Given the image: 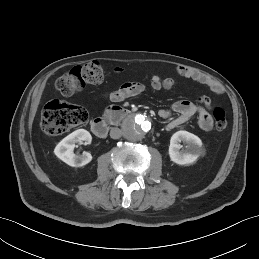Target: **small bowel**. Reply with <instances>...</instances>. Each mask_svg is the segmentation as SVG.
Segmentation results:
<instances>
[{"label":"small bowel","instance_id":"c3829d8e","mask_svg":"<svg viewBox=\"0 0 259 259\" xmlns=\"http://www.w3.org/2000/svg\"><path fill=\"white\" fill-rule=\"evenodd\" d=\"M116 72H121V68H116ZM178 76L186 79H191L200 84L206 85L211 91L221 94L223 93V86L216 79L186 66H179L176 69ZM176 85V80L173 77L162 78L159 75L151 77L150 86L154 92L161 90H170ZM145 87L142 83L136 81L124 82L119 88L111 91L105 97L112 102H122L128 97L138 95L144 91ZM211 108V101L208 97L202 96L199 103H194L188 100H178L171 106V111L177 116L171 119L167 124V129H174L185 122L189 121L195 116H198L199 126L203 131H211L213 129V120L208 113ZM171 111L161 109L158 115L161 118H169Z\"/></svg>","mask_w":259,"mask_h":259}]
</instances>
